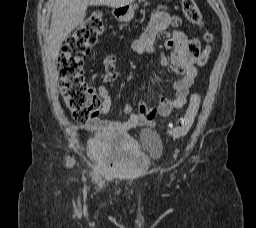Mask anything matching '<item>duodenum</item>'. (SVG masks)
Masks as SVG:
<instances>
[{
  "label": "duodenum",
  "mask_w": 256,
  "mask_h": 228,
  "mask_svg": "<svg viewBox=\"0 0 256 228\" xmlns=\"http://www.w3.org/2000/svg\"><path fill=\"white\" fill-rule=\"evenodd\" d=\"M125 12H126V9L124 7H122V6H115V7H113V13L117 17L124 15Z\"/></svg>",
  "instance_id": "1"
}]
</instances>
